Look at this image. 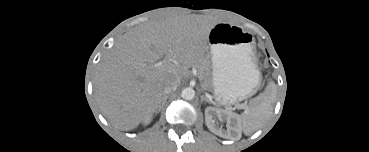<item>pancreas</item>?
<instances>
[{
	"label": "pancreas",
	"mask_w": 369,
	"mask_h": 152,
	"mask_svg": "<svg viewBox=\"0 0 369 152\" xmlns=\"http://www.w3.org/2000/svg\"><path fill=\"white\" fill-rule=\"evenodd\" d=\"M200 80L202 81L203 83V86L205 88H209V80L207 78H204L202 75L200 76Z\"/></svg>",
	"instance_id": "obj_1"
}]
</instances>
